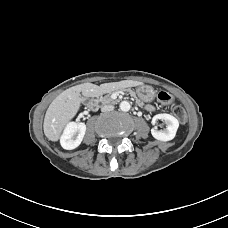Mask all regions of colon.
Segmentation results:
<instances>
[{
  "label": "colon",
  "instance_id": "obj_1",
  "mask_svg": "<svg viewBox=\"0 0 228 228\" xmlns=\"http://www.w3.org/2000/svg\"><path fill=\"white\" fill-rule=\"evenodd\" d=\"M159 101L165 106L172 107L173 114L181 122L186 121V112L181 106H174V98L167 92L161 91L158 93Z\"/></svg>",
  "mask_w": 228,
  "mask_h": 228
}]
</instances>
